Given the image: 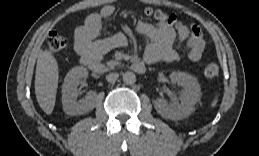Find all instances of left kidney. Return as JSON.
Listing matches in <instances>:
<instances>
[{
  "label": "left kidney",
  "instance_id": "1",
  "mask_svg": "<svg viewBox=\"0 0 259 156\" xmlns=\"http://www.w3.org/2000/svg\"><path fill=\"white\" fill-rule=\"evenodd\" d=\"M170 80L172 83L183 87L181 103L171 105L165 99L158 98L154 102V107L166 119H184L194 111L195 104L200 101V85L195 77L180 71L172 72L170 74Z\"/></svg>",
  "mask_w": 259,
  "mask_h": 156
}]
</instances>
